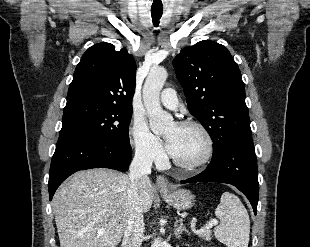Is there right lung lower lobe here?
<instances>
[{
  "mask_svg": "<svg viewBox=\"0 0 310 247\" xmlns=\"http://www.w3.org/2000/svg\"><path fill=\"white\" fill-rule=\"evenodd\" d=\"M130 143L112 144L81 134L59 136L49 172V198L71 174L91 168L126 171L131 161Z\"/></svg>",
  "mask_w": 310,
  "mask_h": 247,
  "instance_id": "1",
  "label": "right lung lower lobe"
}]
</instances>
